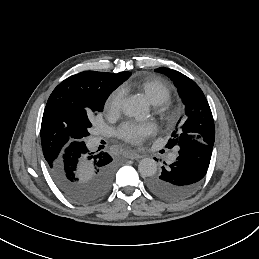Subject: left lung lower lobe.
I'll return each mask as SVG.
<instances>
[{"mask_svg": "<svg viewBox=\"0 0 259 259\" xmlns=\"http://www.w3.org/2000/svg\"><path fill=\"white\" fill-rule=\"evenodd\" d=\"M178 150L177 160L170 165L164 162L161 174L147 181L148 189L164 200H182L198 188L209 167L213 145L192 140Z\"/></svg>", "mask_w": 259, "mask_h": 259, "instance_id": "obj_1", "label": "left lung lower lobe"}]
</instances>
